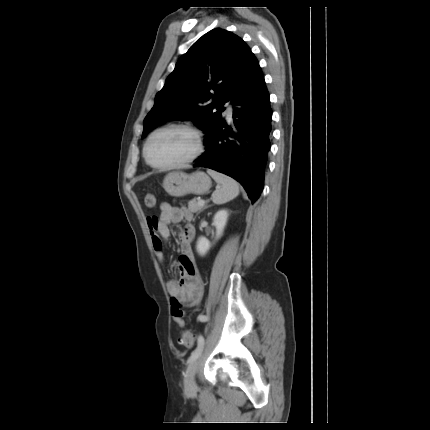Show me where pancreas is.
Masks as SVG:
<instances>
[{
    "instance_id": "pancreas-1",
    "label": "pancreas",
    "mask_w": 430,
    "mask_h": 430,
    "mask_svg": "<svg viewBox=\"0 0 430 430\" xmlns=\"http://www.w3.org/2000/svg\"><path fill=\"white\" fill-rule=\"evenodd\" d=\"M188 208L191 212L196 213V212H201L204 207L200 206L196 199H192L188 202Z\"/></svg>"
}]
</instances>
